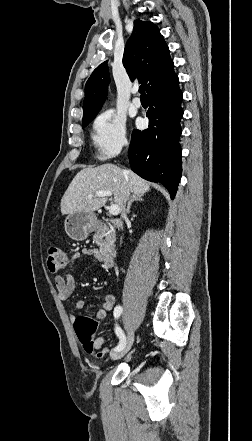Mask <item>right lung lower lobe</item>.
Returning a JSON list of instances; mask_svg holds the SVG:
<instances>
[{"mask_svg":"<svg viewBox=\"0 0 252 441\" xmlns=\"http://www.w3.org/2000/svg\"><path fill=\"white\" fill-rule=\"evenodd\" d=\"M173 61L147 91L149 128L134 130L128 152L132 170L142 178L162 183L175 197L182 173L180 120L183 116L178 76Z\"/></svg>","mask_w":252,"mask_h":441,"instance_id":"obj_1","label":"right lung lower lobe"}]
</instances>
